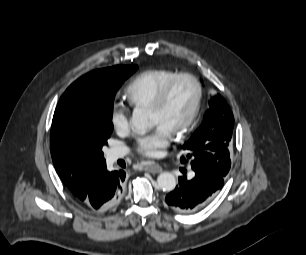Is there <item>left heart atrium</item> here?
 Wrapping results in <instances>:
<instances>
[{"mask_svg":"<svg viewBox=\"0 0 306 255\" xmlns=\"http://www.w3.org/2000/svg\"><path fill=\"white\" fill-rule=\"evenodd\" d=\"M169 140L170 131L161 125H157L151 133L138 139L137 151L145 157H159L163 149L169 145Z\"/></svg>","mask_w":306,"mask_h":255,"instance_id":"1","label":"left heart atrium"}]
</instances>
